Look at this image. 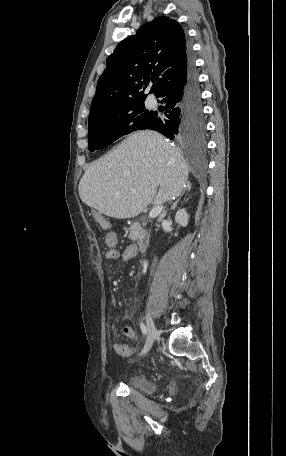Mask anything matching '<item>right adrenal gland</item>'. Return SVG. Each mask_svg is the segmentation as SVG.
<instances>
[{"mask_svg": "<svg viewBox=\"0 0 286 456\" xmlns=\"http://www.w3.org/2000/svg\"><path fill=\"white\" fill-rule=\"evenodd\" d=\"M189 190H190V184H187V186L184 188V191L181 194V196L185 193V191H189ZM178 201H179V199H177V201L173 204V206L171 207V210L176 209Z\"/></svg>", "mask_w": 286, "mask_h": 456, "instance_id": "obj_1", "label": "right adrenal gland"}]
</instances>
